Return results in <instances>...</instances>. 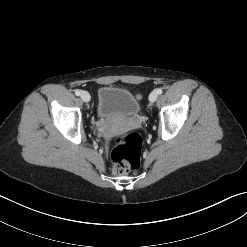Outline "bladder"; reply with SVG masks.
<instances>
[{
	"label": "bladder",
	"mask_w": 247,
	"mask_h": 247,
	"mask_svg": "<svg viewBox=\"0 0 247 247\" xmlns=\"http://www.w3.org/2000/svg\"><path fill=\"white\" fill-rule=\"evenodd\" d=\"M140 112V102L128 89L105 85L99 88L96 114L101 119L133 117Z\"/></svg>",
	"instance_id": "31cf9c89"
}]
</instances>
